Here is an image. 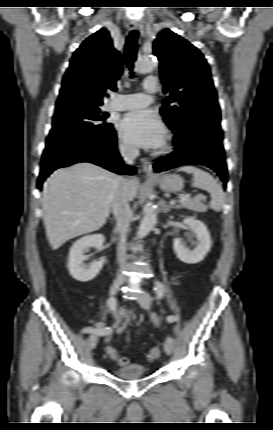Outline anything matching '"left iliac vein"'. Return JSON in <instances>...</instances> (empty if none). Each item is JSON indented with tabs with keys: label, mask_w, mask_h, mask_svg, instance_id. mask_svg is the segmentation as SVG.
<instances>
[{
	"label": "left iliac vein",
	"mask_w": 273,
	"mask_h": 430,
	"mask_svg": "<svg viewBox=\"0 0 273 430\" xmlns=\"http://www.w3.org/2000/svg\"><path fill=\"white\" fill-rule=\"evenodd\" d=\"M138 303L141 305L142 308L148 310L151 306V297L150 294L142 290V293L138 295ZM174 347V339L172 337H167L164 345L165 352L170 355L173 351Z\"/></svg>",
	"instance_id": "obj_1"
}]
</instances>
